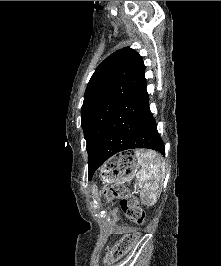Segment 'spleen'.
I'll return each mask as SVG.
<instances>
[{
    "mask_svg": "<svg viewBox=\"0 0 221 266\" xmlns=\"http://www.w3.org/2000/svg\"><path fill=\"white\" fill-rule=\"evenodd\" d=\"M135 156L141 166L137 184L140 195L144 196L149 191H155L165 178V164L160 156L151 150H136Z\"/></svg>",
    "mask_w": 221,
    "mask_h": 266,
    "instance_id": "3e777b00",
    "label": "spleen"
}]
</instances>
